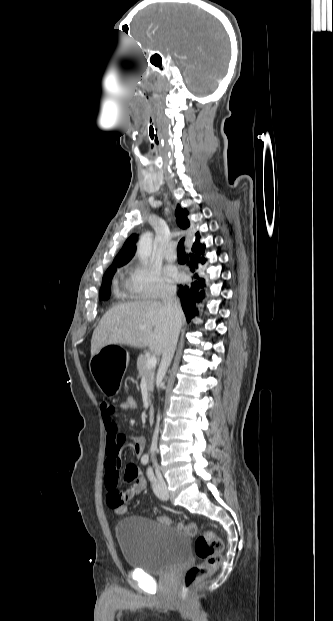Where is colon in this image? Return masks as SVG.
Returning <instances> with one entry per match:
<instances>
[{
  "mask_svg": "<svg viewBox=\"0 0 333 621\" xmlns=\"http://www.w3.org/2000/svg\"><path fill=\"white\" fill-rule=\"evenodd\" d=\"M121 408L125 411H135L138 408V401L133 393H127L122 396ZM117 514H124L126 512L125 504H119L115 507ZM159 521L165 524H171L170 518L161 516ZM188 536L195 538V553L201 563L190 567L184 578L181 597L186 600L191 586L198 580L204 579L207 576L216 572L222 561V540L210 530H201L195 523H185L178 526Z\"/></svg>",
  "mask_w": 333,
  "mask_h": 621,
  "instance_id": "1",
  "label": "colon"
}]
</instances>
